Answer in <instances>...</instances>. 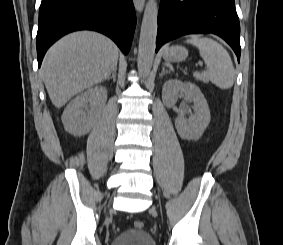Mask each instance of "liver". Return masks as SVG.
<instances>
[{"label":"liver","instance_id":"1","mask_svg":"<svg viewBox=\"0 0 283 245\" xmlns=\"http://www.w3.org/2000/svg\"><path fill=\"white\" fill-rule=\"evenodd\" d=\"M118 47L96 32L71 33L47 52L41 67L52 104L64 106L73 96L105 81L116 69Z\"/></svg>","mask_w":283,"mask_h":245}]
</instances>
